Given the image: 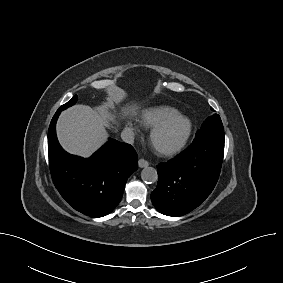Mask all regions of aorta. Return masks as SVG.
Segmentation results:
<instances>
[{"label":"aorta","instance_id":"aorta-1","mask_svg":"<svg viewBox=\"0 0 283 283\" xmlns=\"http://www.w3.org/2000/svg\"><path fill=\"white\" fill-rule=\"evenodd\" d=\"M141 178L146 183H154L158 179L157 170L153 167H145L141 172Z\"/></svg>","mask_w":283,"mask_h":283}]
</instances>
